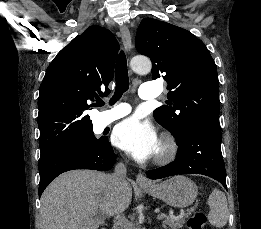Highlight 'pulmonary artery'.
<instances>
[{
	"label": "pulmonary artery",
	"instance_id": "1",
	"mask_svg": "<svg viewBox=\"0 0 261 229\" xmlns=\"http://www.w3.org/2000/svg\"><path fill=\"white\" fill-rule=\"evenodd\" d=\"M158 89V84L141 85L138 91L139 97L142 99H152L157 97L161 92H155ZM130 112V107L127 105L119 104L111 110L104 111L105 120L110 123L127 116Z\"/></svg>",
	"mask_w": 261,
	"mask_h": 229
}]
</instances>
